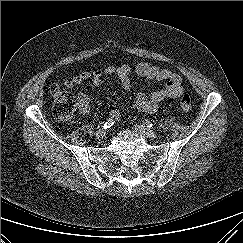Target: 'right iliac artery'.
Returning <instances> with one entry per match:
<instances>
[{"instance_id":"1","label":"right iliac artery","mask_w":243,"mask_h":243,"mask_svg":"<svg viewBox=\"0 0 243 243\" xmlns=\"http://www.w3.org/2000/svg\"><path fill=\"white\" fill-rule=\"evenodd\" d=\"M120 119V116L117 115V116H113L111 118H109L105 124L103 125V128L104 129H108L110 128L115 122H117L118 120Z\"/></svg>"}]
</instances>
